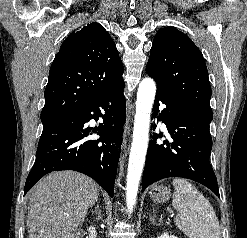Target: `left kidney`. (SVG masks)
Wrapping results in <instances>:
<instances>
[{"instance_id":"left-kidney-1","label":"left kidney","mask_w":247,"mask_h":238,"mask_svg":"<svg viewBox=\"0 0 247 238\" xmlns=\"http://www.w3.org/2000/svg\"><path fill=\"white\" fill-rule=\"evenodd\" d=\"M157 238H177L174 235H168L167 233L162 234L161 236L157 237Z\"/></svg>"}]
</instances>
